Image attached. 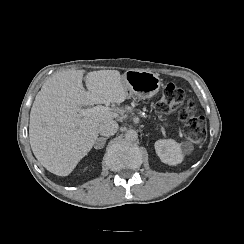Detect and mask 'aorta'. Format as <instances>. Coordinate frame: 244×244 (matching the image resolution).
Masks as SVG:
<instances>
[{
  "instance_id": "762f6f07",
  "label": "aorta",
  "mask_w": 244,
  "mask_h": 244,
  "mask_svg": "<svg viewBox=\"0 0 244 244\" xmlns=\"http://www.w3.org/2000/svg\"><path fill=\"white\" fill-rule=\"evenodd\" d=\"M138 138V134L135 130L130 129L125 132V139L130 142L136 141Z\"/></svg>"
}]
</instances>
